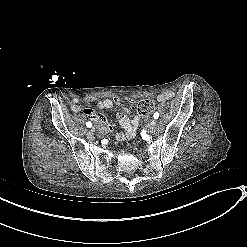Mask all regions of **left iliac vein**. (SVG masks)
Listing matches in <instances>:
<instances>
[{
    "mask_svg": "<svg viewBox=\"0 0 247 247\" xmlns=\"http://www.w3.org/2000/svg\"><path fill=\"white\" fill-rule=\"evenodd\" d=\"M155 125H156V121L155 120H151V122H150V128H154L155 127Z\"/></svg>",
    "mask_w": 247,
    "mask_h": 247,
    "instance_id": "left-iliac-vein-1",
    "label": "left iliac vein"
}]
</instances>
